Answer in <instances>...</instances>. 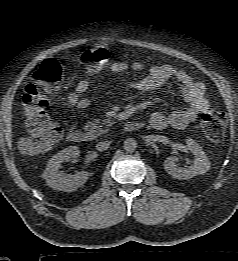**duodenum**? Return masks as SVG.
Wrapping results in <instances>:
<instances>
[{"label":"duodenum","mask_w":238,"mask_h":261,"mask_svg":"<svg viewBox=\"0 0 238 261\" xmlns=\"http://www.w3.org/2000/svg\"><path fill=\"white\" fill-rule=\"evenodd\" d=\"M143 127V123L140 121H128L124 125V129L127 132H134ZM67 139L69 142L74 144L84 143L88 140V136L85 132L81 130H72L67 134Z\"/></svg>","instance_id":"410a0bca"}]
</instances>
